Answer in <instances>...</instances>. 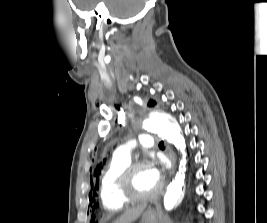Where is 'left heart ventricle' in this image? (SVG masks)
Wrapping results in <instances>:
<instances>
[{
  "label": "left heart ventricle",
  "instance_id": "b2bd125f",
  "mask_svg": "<svg viewBox=\"0 0 267 223\" xmlns=\"http://www.w3.org/2000/svg\"><path fill=\"white\" fill-rule=\"evenodd\" d=\"M159 186L150 176V167H142L134 174L132 189L137 194H148L155 191Z\"/></svg>",
  "mask_w": 267,
  "mask_h": 223
}]
</instances>
